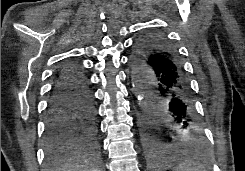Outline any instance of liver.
Wrapping results in <instances>:
<instances>
[{
    "instance_id": "obj_1",
    "label": "liver",
    "mask_w": 245,
    "mask_h": 171,
    "mask_svg": "<svg viewBox=\"0 0 245 171\" xmlns=\"http://www.w3.org/2000/svg\"><path fill=\"white\" fill-rule=\"evenodd\" d=\"M58 171H94L91 168L78 164H66L61 167Z\"/></svg>"
}]
</instances>
